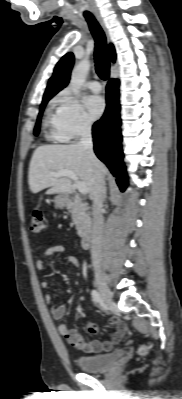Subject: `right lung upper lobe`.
I'll return each instance as SVG.
<instances>
[{"instance_id":"cb5924a9","label":"right lung upper lobe","mask_w":182,"mask_h":399,"mask_svg":"<svg viewBox=\"0 0 182 399\" xmlns=\"http://www.w3.org/2000/svg\"><path fill=\"white\" fill-rule=\"evenodd\" d=\"M109 54L112 62L116 59L115 49L112 44L109 46ZM74 63L73 54L67 53L55 66L52 77L49 79L43 99L52 98L56 93L65 88L70 79V72Z\"/></svg>"}]
</instances>
